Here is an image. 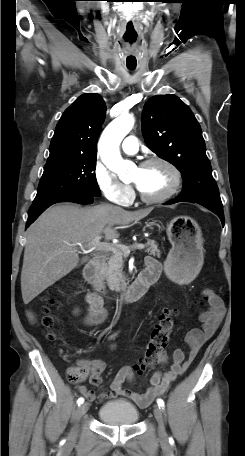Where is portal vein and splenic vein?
<instances>
[{
  "mask_svg": "<svg viewBox=\"0 0 245 456\" xmlns=\"http://www.w3.org/2000/svg\"><path fill=\"white\" fill-rule=\"evenodd\" d=\"M101 236L95 237L91 243L88 245L83 246L80 243L74 244L76 246H80L82 249H86L87 251H103V252H116L117 247H120L123 252L128 256L130 254L131 249H139L142 250L145 248L144 244H135L132 247L124 246V245H114L106 242H101Z\"/></svg>",
  "mask_w": 245,
  "mask_h": 456,
  "instance_id": "1",
  "label": "portal vein and splenic vein"
}]
</instances>
